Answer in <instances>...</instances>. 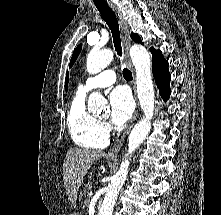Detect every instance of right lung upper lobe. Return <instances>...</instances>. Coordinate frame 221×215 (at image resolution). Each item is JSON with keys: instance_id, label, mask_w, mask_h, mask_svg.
Segmentation results:
<instances>
[{"instance_id": "right-lung-upper-lobe-1", "label": "right lung upper lobe", "mask_w": 221, "mask_h": 215, "mask_svg": "<svg viewBox=\"0 0 221 215\" xmlns=\"http://www.w3.org/2000/svg\"><path fill=\"white\" fill-rule=\"evenodd\" d=\"M68 81H69V74H68V72H67L66 82H65V83H66V87H65L66 91H67Z\"/></svg>"}]
</instances>
